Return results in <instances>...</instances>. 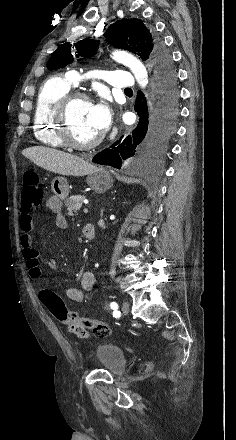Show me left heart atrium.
<instances>
[{"instance_id": "39dd6f15", "label": "left heart atrium", "mask_w": 236, "mask_h": 440, "mask_svg": "<svg viewBox=\"0 0 236 440\" xmlns=\"http://www.w3.org/2000/svg\"><path fill=\"white\" fill-rule=\"evenodd\" d=\"M91 118L99 132L105 131L110 123V111L105 103L93 104Z\"/></svg>"}]
</instances>
